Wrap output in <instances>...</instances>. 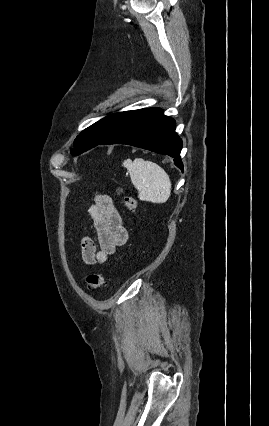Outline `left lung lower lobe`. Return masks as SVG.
<instances>
[{"instance_id": "obj_1", "label": "left lung lower lobe", "mask_w": 269, "mask_h": 426, "mask_svg": "<svg viewBox=\"0 0 269 426\" xmlns=\"http://www.w3.org/2000/svg\"><path fill=\"white\" fill-rule=\"evenodd\" d=\"M127 144L174 158L183 171L180 159L182 140L175 133L174 119L159 108L121 112L117 121L98 145Z\"/></svg>"}]
</instances>
